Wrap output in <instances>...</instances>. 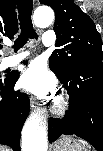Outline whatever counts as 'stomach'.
<instances>
[{"mask_svg":"<svg viewBox=\"0 0 103 151\" xmlns=\"http://www.w3.org/2000/svg\"><path fill=\"white\" fill-rule=\"evenodd\" d=\"M53 151H84V148L80 140L63 136L54 144Z\"/></svg>","mask_w":103,"mask_h":151,"instance_id":"1","label":"stomach"}]
</instances>
